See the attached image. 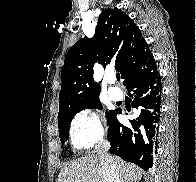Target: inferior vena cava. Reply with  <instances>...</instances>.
Here are the masks:
<instances>
[{"label":"inferior vena cava","mask_w":196,"mask_h":182,"mask_svg":"<svg viewBox=\"0 0 196 182\" xmlns=\"http://www.w3.org/2000/svg\"><path fill=\"white\" fill-rule=\"evenodd\" d=\"M109 149L110 143L104 139H101L96 146L97 155L101 160L104 182H120L115 162L108 154Z\"/></svg>","instance_id":"inferior-vena-cava-1"}]
</instances>
